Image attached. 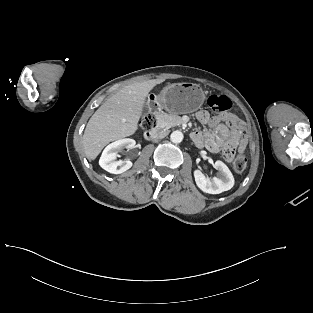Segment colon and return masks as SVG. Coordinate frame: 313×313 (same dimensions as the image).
<instances>
[{
	"label": "colon",
	"instance_id": "1",
	"mask_svg": "<svg viewBox=\"0 0 313 313\" xmlns=\"http://www.w3.org/2000/svg\"><path fill=\"white\" fill-rule=\"evenodd\" d=\"M208 106L217 112L225 113L227 112L232 103L230 99L223 95H210L207 100ZM156 125L155 116L151 113L144 115L140 121V127L144 131L151 130ZM223 156L226 160L232 162L233 168L237 173H242L247 167V159L244 155L237 153L235 149L231 147H226L223 150Z\"/></svg>",
	"mask_w": 313,
	"mask_h": 313
}]
</instances>
